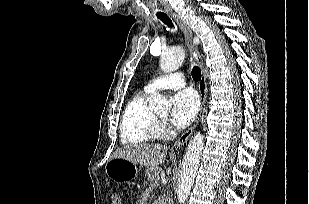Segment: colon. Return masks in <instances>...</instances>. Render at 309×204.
<instances>
[{"label": "colon", "instance_id": "obj_1", "mask_svg": "<svg viewBox=\"0 0 309 204\" xmlns=\"http://www.w3.org/2000/svg\"><path fill=\"white\" fill-rule=\"evenodd\" d=\"M112 203L113 204H121V195L119 193L112 194Z\"/></svg>", "mask_w": 309, "mask_h": 204}]
</instances>
